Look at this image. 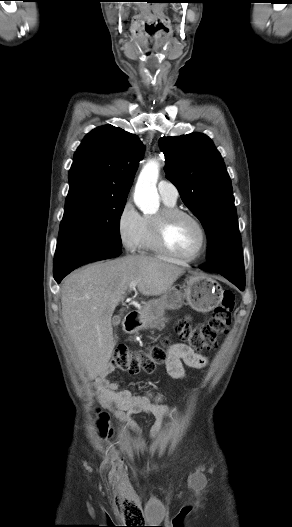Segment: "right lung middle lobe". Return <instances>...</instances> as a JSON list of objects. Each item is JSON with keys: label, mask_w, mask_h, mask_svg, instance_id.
Segmentation results:
<instances>
[{"label": "right lung middle lobe", "mask_w": 292, "mask_h": 527, "mask_svg": "<svg viewBox=\"0 0 292 527\" xmlns=\"http://www.w3.org/2000/svg\"><path fill=\"white\" fill-rule=\"evenodd\" d=\"M127 196L84 186H70L58 240H101L121 247L120 216Z\"/></svg>", "instance_id": "obj_1"}]
</instances>
